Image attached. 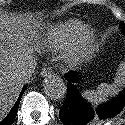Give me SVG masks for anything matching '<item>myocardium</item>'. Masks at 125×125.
Instances as JSON below:
<instances>
[{"mask_svg": "<svg viewBox=\"0 0 125 125\" xmlns=\"http://www.w3.org/2000/svg\"><path fill=\"white\" fill-rule=\"evenodd\" d=\"M96 44L97 35L94 32L86 31L66 48L65 55L70 62L86 59L94 52Z\"/></svg>", "mask_w": 125, "mask_h": 125, "instance_id": "1", "label": "myocardium"}]
</instances>
